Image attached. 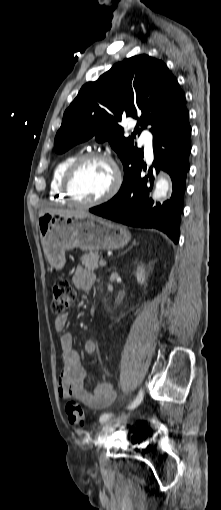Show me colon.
<instances>
[{"instance_id":"obj_1","label":"colon","mask_w":221,"mask_h":510,"mask_svg":"<svg viewBox=\"0 0 221 510\" xmlns=\"http://www.w3.org/2000/svg\"><path fill=\"white\" fill-rule=\"evenodd\" d=\"M77 291L67 280L59 278L53 285L51 310L54 314L60 315L68 309L76 300ZM66 413L72 425L84 426L86 415L82 407L76 401L70 400L66 403Z\"/></svg>"}]
</instances>
